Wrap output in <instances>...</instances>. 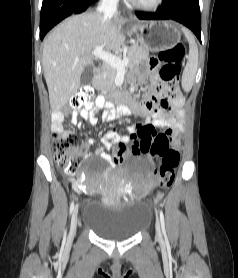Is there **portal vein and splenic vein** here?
Instances as JSON below:
<instances>
[{
    "instance_id": "portal-vein-and-splenic-vein-1",
    "label": "portal vein and splenic vein",
    "mask_w": 238,
    "mask_h": 278,
    "mask_svg": "<svg viewBox=\"0 0 238 278\" xmlns=\"http://www.w3.org/2000/svg\"><path fill=\"white\" fill-rule=\"evenodd\" d=\"M91 54L94 57H97L99 59H101L102 61H104L105 63H107L108 65L119 69V70H124L125 67L128 65L129 63V59L128 58H123L121 59L120 57L113 55L107 51H103V48L101 46L96 47Z\"/></svg>"
}]
</instances>
